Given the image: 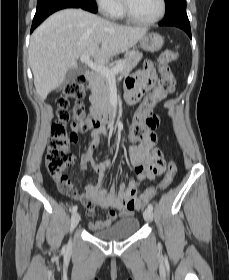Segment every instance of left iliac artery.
<instances>
[{"label": "left iliac artery", "instance_id": "44dca946", "mask_svg": "<svg viewBox=\"0 0 229 280\" xmlns=\"http://www.w3.org/2000/svg\"><path fill=\"white\" fill-rule=\"evenodd\" d=\"M148 209L153 210V205H152V204H149V205H148Z\"/></svg>", "mask_w": 229, "mask_h": 280}]
</instances>
